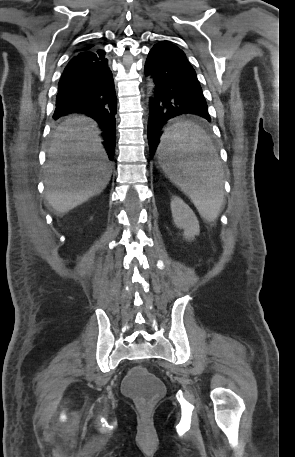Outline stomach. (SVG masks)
I'll list each match as a JSON object with an SVG mask.
<instances>
[{
    "label": "stomach",
    "instance_id": "obj_1",
    "mask_svg": "<svg viewBox=\"0 0 295 457\" xmlns=\"http://www.w3.org/2000/svg\"><path fill=\"white\" fill-rule=\"evenodd\" d=\"M164 161L165 160H163V159L159 160L160 165H162L164 163Z\"/></svg>",
    "mask_w": 295,
    "mask_h": 457
}]
</instances>
